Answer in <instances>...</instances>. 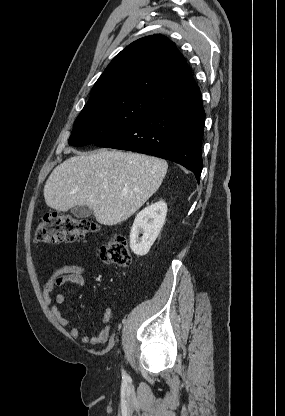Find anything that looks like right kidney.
Masks as SVG:
<instances>
[{"label": "right kidney", "instance_id": "ca27d5eb", "mask_svg": "<svg viewBox=\"0 0 285 416\" xmlns=\"http://www.w3.org/2000/svg\"><path fill=\"white\" fill-rule=\"evenodd\" d=\"M167 204L160 200L137 214L130 232V248L136 256H146L164 226ZM139 234H143L139 238Z\"/></svg>", "mask_w": 285, "mask_h": 416}]
</instances>
